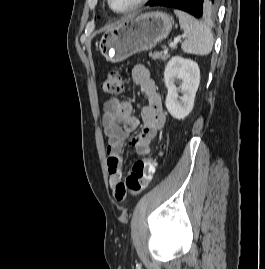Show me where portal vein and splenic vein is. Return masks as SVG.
Returning a JSON list of instances; mask_svg holds the SVG:
<instances>
[{
  "label": "portal vein and splenic vein",
  "instance_id": "1",
  "mask_svg": "<svg viewBox=\"0 0 265 269\" xmlns=\"http://www.w3.org/2000/svg\"><path fill=\"white\" fill-rule=\"evenodd\" d=\"M182 37H185V35H183ZM180 41V39H177V40H175L174 42H171L170 44H169V47L170 48H175L176 46H177V43ZM168 52V50L167 49H164V53H167Z\"/></svg>",
  "mask_w": 265,
  "mask_h": 269
}]
</instances>
